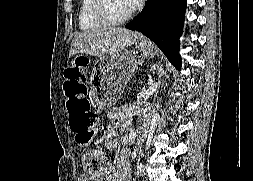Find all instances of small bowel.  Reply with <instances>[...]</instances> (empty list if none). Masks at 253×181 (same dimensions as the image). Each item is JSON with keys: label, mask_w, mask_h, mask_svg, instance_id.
<instances>
[{"label": "small bowel", "mask_w": 253, "mask_h": 181, "mask_svg": "<svg viewBox=\"0 0 253 181\" xmlns=\"http://www.w3.org/2000/svg\"><path fill=\"white\" fill-rule=\"evenodd\" d=\"M83 67V64H80ZM127 111L126 107H117L110 111L108 117L114 121L122 117ZM118 136L110 131L106 139V146L114 148L117 145ZM110 181H130V166L125 156H121L117 163L108 162L105 167L96 175L83 174L81 181H103L108 178Z\"/></svg>", "instance_id": "small-bowel-1"}]
</instances>
